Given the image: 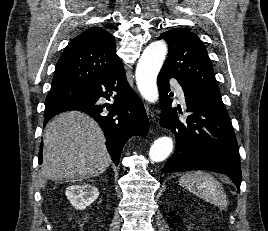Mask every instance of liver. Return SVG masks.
Wrapping results in <instances>:
<instances>
[{
	"label": "liver",
	"instance_id": "obj_1",
	"mask_svg": "<svg viewBox=\"0 0 268 231\" xmlns=\"http://www.w3.org/2000/svg\"><path fill=\"white\" fill-rule=\"evenodd\" d=\"M99 125L85 113L67 111L54 117L43 136L44 179H88L111 163Z\"/></svg>",
	"mask_w": 268,
	"mask_h": 231
}]
</instances>
